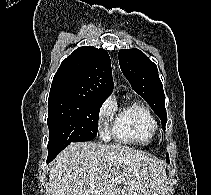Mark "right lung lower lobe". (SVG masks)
Segmentation results:
<instances>
[{
	"label": "right lung lower lobe",
	"mask_w": 211,
	"mask_h": 195,
	"mask_svg": "<svg viewBox=\"0 0 211 195\" xmlns=\"http://www.w3.org/2000/svg\"><path fill=\"white\" fill-rule=\"evenodd\" d=\"M69 145V144H68ZM67 145L48 153L47 163L51 162Z\"/></svg>",
	"instance_id": "obj_1"
}]
</instances>
